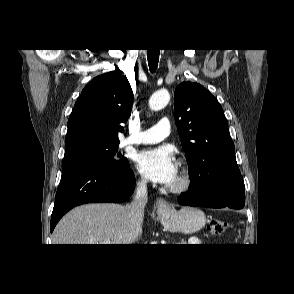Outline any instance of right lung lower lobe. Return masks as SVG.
I'll use <instances>...</instances> for the list:
<instances>
[{
    "mask_svg": "<svg viewBox=\"0 0 294 294\" xmlns=\"http://www.w3.org/2000/svg\"><path fill=\"white\" fill-rule=\"evenodd\" d=\"M134 174L125 169L78 166L62 172L51 216V232L57 222L77 205L94 202H122L133 192Z\"/></svg>",
    "mask_w": 294,
    "mask_h": 294,
    "instance_id": "obj_1",
    "label": "right lung lower lobe"
}]
</instances>
